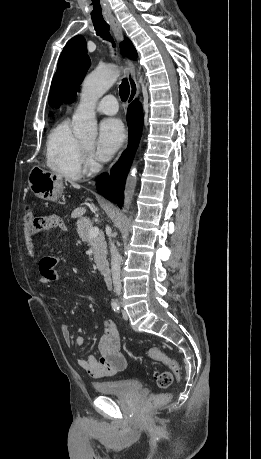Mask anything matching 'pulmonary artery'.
I'll use <instances>...</instances> for the list:
<instances>
[{
	"mask_svg": "<svg viewBox=\"0 0 261 459\" xmlns=\"http://www.w3.org/2000/svg\"><path fill=\"white\" fill-rule=\"evenodd\" d=\"M96 110L99 113L106 115H114L118 111V102L113 95L104 96L96 105Z\"/></svg>",
	"mask_w": 261,
	"mask_h": 459,
	"instance_id": "obj_1",
	"label": "pulmonary artery"
}]
</instances>
